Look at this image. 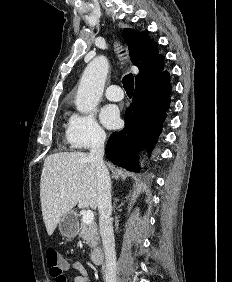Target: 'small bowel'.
I'll use <instances>...</instances> for the list:
<instances>
[{
    "mask_svg": "<svg viewBox=\"0 0 232 282\" xmlns=\"http://www.w3.org/2000/svg\"><path fill=\"white\" fill-rule=\"evenodd\" d=\"M71 267L78 272V275L73 277V282H90V274L88 268L82 262L76 261ZM70 264L67 261H64V270H68ZM55 282H67L66 277H54Z\"/></svg>",
    "mask_w": 232,
    "mask_h": 282,
    "instance_id": "1",
    "label": "small bowel"
}]
</instances>
